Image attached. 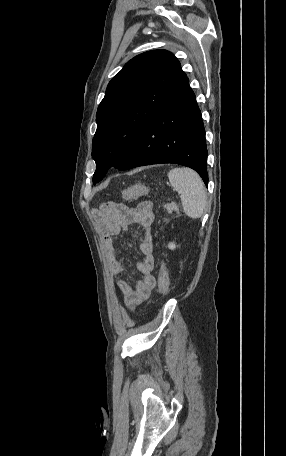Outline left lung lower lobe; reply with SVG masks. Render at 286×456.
<instances>
[{
  "label": "left lung lower lobe",
  "mask_w": 286,
  "mask_h": 456,
  "mask_svg": "<svg viewBox=\"0 0 286 456\" xmlns=\"http://www.w3.org/2000/svg\"><path fill=\"white\" fill-rule=\"evenodd\" d=\"M161 163L190 167L208 185L205 129L188 77L140 133L119 170Z\"/></svg>",
  "instance_id": "1"
}]
</instances>
